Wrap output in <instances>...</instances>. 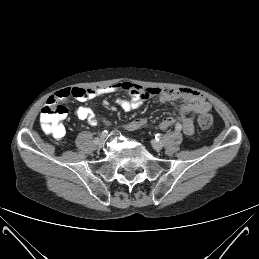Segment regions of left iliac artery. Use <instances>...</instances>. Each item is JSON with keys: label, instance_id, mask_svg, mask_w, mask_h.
Listing matches in <instances>:
<instances>
[{"label": "left iliac artery", "instance_id": "1", "mask_svg": "<svg viewBox=\"0 0 259 259\" xmlns=\"http://www.w3.org/2000/svg\"><path fill=\"white\" fill-rule=\"evenodd\" d=\"M175 128H176V130L180 131V130H181V125H180V124H177ZM158 135H159V134H158ZM158 140H159V139H158Z\"/></svg>", "mask_w": 259, "mask_h": 259}]
</instances>
